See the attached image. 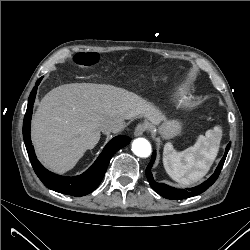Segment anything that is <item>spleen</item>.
Segmentation results:
<instances>
[{"mask_svg": "<svg viewBox=\"0 0 250 250\" xmlns=\"http://www.w3.org/2000/svg\"><path fill=\"white\" fill-rule=\"evenodd\" d=\"M221 131L219 127L200 135L196 143L183 150L176 151L171 143L163 150V164L168 175L183 185H190L203 178L215 160Z\"/></svg>", "mask_w": 250, "mask_h": 250, "instance_id": "3e777b00", "label": "spleen"}]
</instances>
